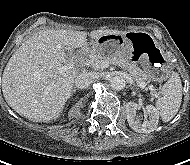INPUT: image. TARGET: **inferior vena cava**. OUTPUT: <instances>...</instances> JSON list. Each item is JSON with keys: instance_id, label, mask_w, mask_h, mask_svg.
Listing matches in <instances>:
<instances>
[{"instance_id": "obj_1", "label": "inferior vena cava", "mask_w": 190, "mask_h": 165, "mask_svg": "<svg viewBox=\"0 0 190 165\" xmlns=\"http://www.w3.org/2000/svg\"><path fill=\"white\" fill-rule=\"evenodd\" d=\"M98 78L99 74L97 72L82 71L77 75L75 85L80 89H85Z\"/></svg>"}]
</instances>
